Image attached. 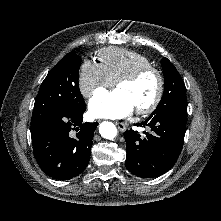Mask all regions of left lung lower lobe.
<instances>
[{"instance_id":"1","label":"left lung lower lobe","mask_w":221,"mask_h":221,"mask_svg":"<svg viewBox=\"0 0 221 221\" xmlns=\"http://www.w3.org/2000/svg\"><path fill=\"white\" fill-rule=\"evenodd\" d=\"M187 106L148 117L137 126H149L151 132L140 137L132 129L125 131L126 168L138 177H156L166 173L177 161L184 142Z\"/></svg>"}]
</instances>
